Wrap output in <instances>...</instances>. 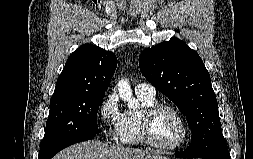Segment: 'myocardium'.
I'll use <instances>...</instances> for the list:
<instances>
[{"mask_svg":"<svg viewBox=\"0 0 253 159\" xmlns=\"http://www.w3.org/2000/svg\"><path fill=\"white\" fill-rule=\"evenodd\" d=\"M161 110H170L173 113H175L182 125V133H181L180 138L175 144L171 146L159 145L154 140L153 135H152L151 126H152L153 118ZM188 134H189V126H188L186 118L177 107L171 104L156 102L152 105L145 107L141 112L140 137H141L142 142L149 147H152L162 152H172L181 148L184 145V143L186 142L188 138Z\"/></svg>","mask_w":253,"mask_h":159,"instance_id":"obj_1","label":"myocardium"}]
</instances>
